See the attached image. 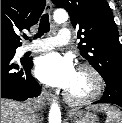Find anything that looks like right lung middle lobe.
<instances>
[{"label":"right lung middle lobe","instance_id":"dd1d6c3e","mask_svg":"<svg viewBox=\"0 0 122 123\" xmlns=\"http://www.w3.org/2000/svg\"><path fill=\"white\" fill-rule=\"evenodd\" d=\"M12 52H15V49H10Z\"/></svg>","mask_w":122,"mask_h":123}]
</instances>
